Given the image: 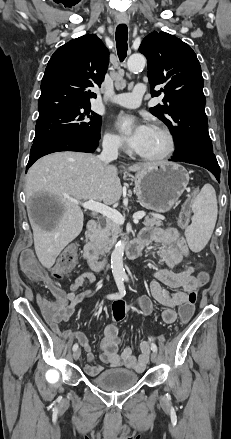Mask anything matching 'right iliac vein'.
<instances>
[{
    "instance_id": "obj_1",
    "label": "right iliac vein",
    "mask_w": 231,
    "mask_h": 439,
    "mask_svg": "<svg viewBox=\"0 0 231 439\" xmlns=\"http://www.w3.org/2000/svg\"><path fill=\"white\" fill-rule=\"evenodd\" d=\"M80 355H81V350H80V349H77V350H75L74 353H73V358H74L75 360H78L79 357H80Z\"/></svg>"
}]
</instances>
